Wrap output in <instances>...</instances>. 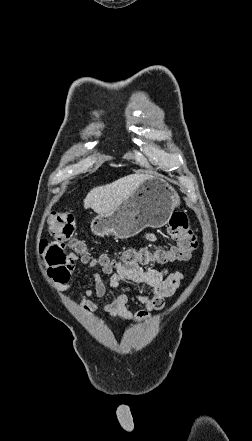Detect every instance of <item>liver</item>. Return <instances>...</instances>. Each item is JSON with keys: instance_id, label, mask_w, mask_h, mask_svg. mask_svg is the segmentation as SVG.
I'll return each instance as SVG.
<instances>
[{"instance_id": "liver-1", "label": "liver", "mask_w": 252, "mask_h": 441, "mask_svg": "<svg viewBox=\"0 0 252 441\" xmlns=\"http://www.w3.org/2000/svg\"><path fill=\"white\" fill-rule=\"evenodd\" d=\"M150 178L153 176L131 174L110 184L95 187L84 199V207L93 209L97 214H110L129 198L141 183Z\"/></svg>"}]
</instances>
